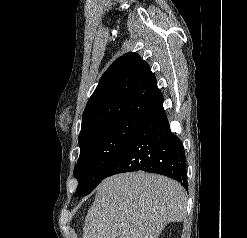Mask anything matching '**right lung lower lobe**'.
<instances>
[{
  "instance_id": "obj_1",
  "label": "right lung lower lobe",
  "mask_w": 247,
  "mask_h": 238,
  "mask_svg": "<svg viewBox=\"0 0 247 238\" xmlns=\"http://www.w3.org/2000/svg\"><path fill=\"white\" fill-rule=\"evenodd\" d=\"M139 170L165 175L187 187L183 146L170 131L164 109L145 121L111 165L105 178Z\"/></svg>"
}]
</instances>
